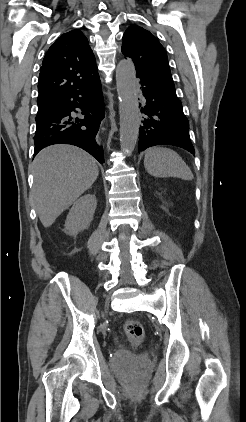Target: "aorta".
Masks as SVG:
<instances>
[{
  "mask_svg": "<svg viewBox=\"0 0 246 422\" xmlns=\"http://www.w3.org/2000/svg\"><path fill=\"white\" fill-rule=\"evenodd\" d=\"M116 86L119 98L120 145L122 151L130 156L136 146L140 127L136 72L130 59H123L118 63Z\"/></svg>",
  "mask_w": 246,
  "mask_h": 422,
  "instance_id": "obj_1",
  "label": "aorta"
}]
</instances>
